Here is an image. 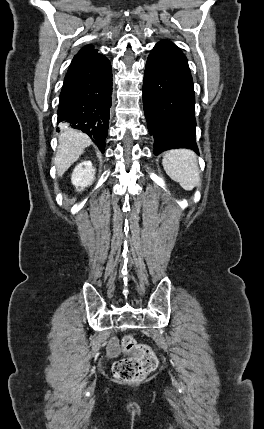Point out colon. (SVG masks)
I'll return each mask as SVG.
<instances>
[{
  "label": "colon",
  "mask_w": 264,
  "mask_h": 429,
  "mask_svg": "<svg viewBox=\"0 0 264 429\" xmlns=\"http://www.w3.org/2000/svg\"><path fill=\"white\" fill-rule=\"evenodd\" d=\"M121 349L130 356L115 362L113 375L117 380L139 382L156 368L158 360L155 353L147 345L138 343L133 336L123 337Z\"/></svg>",
  "instance_id": "colon-1"
}]
</instances>
